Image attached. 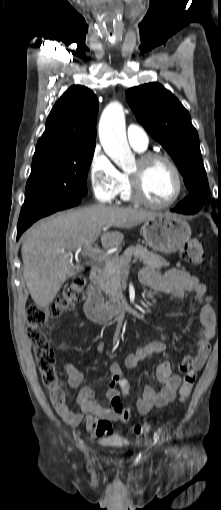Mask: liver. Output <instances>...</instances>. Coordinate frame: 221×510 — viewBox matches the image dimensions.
<instances>
[{
	"label": "liver",
	"mask_w": 221,
	"mask_h": 510,
	"mask_svg": "<svg viewBox=\"0 0 221 510\" xmlns=\"http://www.w3.org/2000/svg\"><path fill=\"white\" fill-rule=\"evenodd\" d=\"M159 213L143 209L93 205L43 219L23 235V277L29 293L40 308L52 303L64 282L80 273L82 265L71 266L73 251L85 249L100 236L105 249L119 245L120 231L111 226L132 228Z\"/></svg>",
	"instance_id": "obj_1"
}]
</instances>
